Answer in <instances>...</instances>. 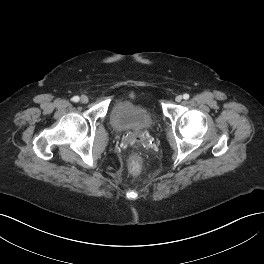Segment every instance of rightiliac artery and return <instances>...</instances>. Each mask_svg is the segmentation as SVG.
<instances>
[{
    "label": "right iliac artery",
    "mask_w": 264,
    "mask_h": 264,
    "mask_svg": "<svg viewBox=\"0 0 264 264\" xmlns=\"http://www.w3.org/2000/svg\"><path fill=\"white\" fill-rule=\"evenodd\" d=\"M72 100H73L74 102H78V101H79V97H78V96H74V97L72 98Z\"/></svg>",
    "instance_id": "obj_1"
}]
</instances>
